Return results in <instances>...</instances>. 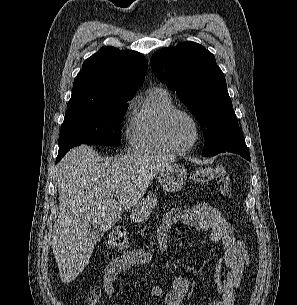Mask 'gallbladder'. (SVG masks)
<instances>
[{"mask_svg": "<svg viewBox=\"0 0 297 305\" xmlns=\"http://www.w3.org/2000/svg\"><path fill=\"white\" fill-rule=\"evenodd\" d=\"M86 236L88 240L93 242L94 244L100 241L103 236V231L98 225L91 224L87 229Z\"/></svg>", "mask_w": 297, "mask_h": 305, "instance_id": "bac80fb5", "label": "gallbladder"}]
</instances>
